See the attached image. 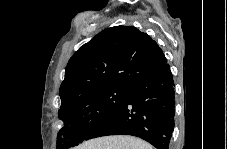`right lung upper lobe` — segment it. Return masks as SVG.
<instances>
[{
  "label": "right lung upper lobe",
  "instance_id": "right-lung-upper-lobe-1",
  "mask_svg": "<svg viewBox=\"0 0 227 149\" xmlns=\"http://www.w3.org/2000/svg\"><path fill=\"white\" fill-rule=\"evenodd\" d=\"M158 44L133 26L107 28L70 58L59 95L62 109L95 89L130 87L166 64Z\"/></svg>",
  "mask_w": 227,
  "mask_h": 149
}]
</instances>
